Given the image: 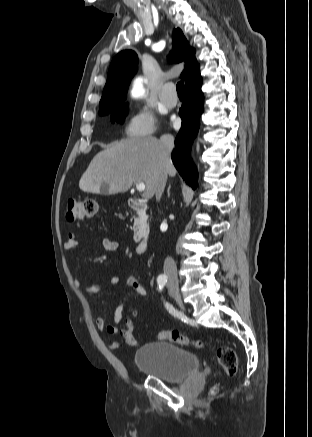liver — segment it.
Segmentation results:
<instances>
[{
    "label": "liver",
    "instance_id": "obj_1",
    "mask_svg": "<svg viewBox=\"0 0 312 437\" xmlns=\"http://www.w3.org/2000/svg\"><path fill=\"white\" fill-rule=\"evenodd\" d=\"M161 174L174 177L176 169L170 157L162 156L160 140L128 138L99 152L82 175L79 187L87 193L101 194L105 184L108 194H117L128 191L134 182H143V197L150 199Z\"/></svg>",
    "mask_w": 312,
    "mask_h": 437
}]
</instances>
